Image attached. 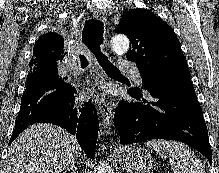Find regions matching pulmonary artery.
<instances>
[{"label": "pulmonary artery", "instance_id": "1", "mask_svg": "<svg viewBox=\"0 0 219 173\" xmlns=\"http://www.w3.org/2000/svg\"><path fill=\"white\" fill-rule=\"evenodd\" d=\"M119 68L122 70V71H127L130 73L131 75V78L136 81V82H140L141 81V73L140 71L137 69V67L129 62V61H126V60H121L119 62ZM75 73H78L79 70L78 69H75L74 70Z\"/></svg>", "mask_w": 219, "mask_h": 173}]
</instances>
